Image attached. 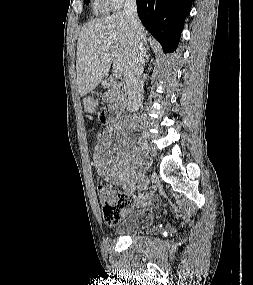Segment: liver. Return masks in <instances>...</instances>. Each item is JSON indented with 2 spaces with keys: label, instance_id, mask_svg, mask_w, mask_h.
I'll return each instance as SVG.
<instances>
[{
  "label": "liver",
  "instance_id": "1",
  "mask_svg": "<svg viewBox=\"0 0 253 285\" xmlns=\"http://www.w3.org/2000/svg\"><path fill=\"white\" fill-rule=\"evenodd\" d=\"M145 41L147 31L144 29ZM133 37L129 21L122 11L85 24L77 43V86L81 96L92 91L107 75L112 53L120 60L125 72Z\"/></svg>",
  "mask_w": 253,
  "mask_h": 285
}]
</instances>
